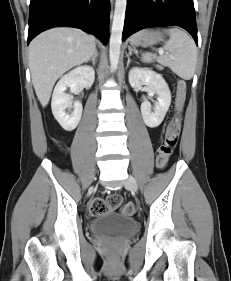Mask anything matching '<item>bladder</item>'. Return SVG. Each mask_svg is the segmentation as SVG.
I'll return each mask as SVG.
<instances>
[{
  "instance_id": "obj_1",
  "label": "bladder",
  "mask_w": 231,
  "mask_h": 281,
  "mask_svg": "<svg viewBox=\"0 0 231 281\" xmlns=\"http://www.w3.org/2000/svg\"><path fill=\"white\" fill-rule=\"evenodd\" d=\"M138 230V222L125 214L107 211L94 216L89 231L94 236L130 237Z\"/></svg>"
}]
</instances>
